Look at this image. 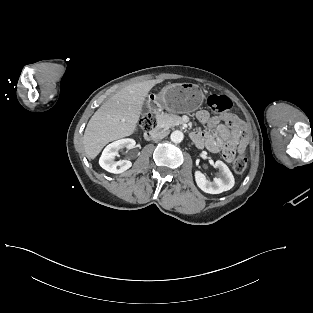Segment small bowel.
I'll return each instance as SVG.
<instances>
[{"label": "small bowel", "mask_w": 313, "mask_h": 313, "mask_svg": "<svg viewBox=\"0 0 313 313\" xmlns=\"http://www.w3.org/2000/svg\"><path fill=\"white\" fill-rule=\"evenodd\" d=\"M197 119L210 131H196L192 133V139L200 147H206L211 152H219L226 147L237 150L243 154L248 145L243 121L232 113H224L218 116L201 110L197 112Z\"/></svg>", "instance_id": "1"}]
</instances>
